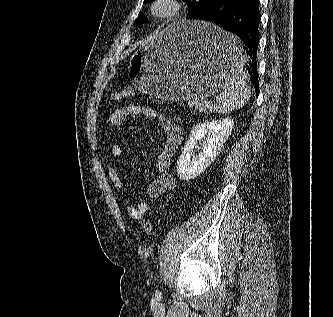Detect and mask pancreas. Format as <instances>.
<instances>
[{"label": "pancreas", "instance_id": "pancreas-1", "mask_svg": "<svg viewBox=\"0 0 333 317\" xmlns=\"http://www.w3.org/2000/svg\"><path fill=\"white\" fill-rule=\"evenodd\" d=\"M195 107L199 111H210L212 109V105L211 104H207V103H203V102H200L198 105H195Z\"/></svg>", "mask_w": 333, "mask_h": 317}]
</instances>
